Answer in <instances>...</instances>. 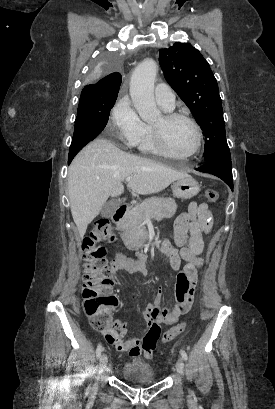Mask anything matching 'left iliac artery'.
I'll return each instance as SVG.
<instances>
[{
	"mask_svg": "<svg viewBox=\"0 0 275 409\" xmlns=\"http://www.w3.org/2000/svg\"><path fill=\"white\" fill-rule=\"evenodd\" d=\"M180 354H181L182 358H183L185 361H187V359H188L187 353H186L184 350H181V351H180Z\"/></svg>",
	"mask_w": 275,
	"mask_h": 409,
	"instance_id": "44dca946",
	"label": "left iliac artery"
}]
</instances>
